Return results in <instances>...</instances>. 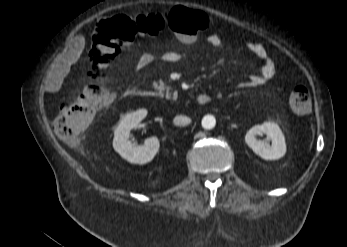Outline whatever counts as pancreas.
Returning a JSON list of instances; mask_svg holds the SVG:
<instances>
[{
    "instance_id": "obj_1",
    "label": "pancreas",
    "mask_w": 347,
    "mask_h": 247,
    "mask_svg": "<svg viewBox=\"0 0 347 247\" xmlns=\"http://www.w3.org/2000/svg\"><path fill=\"white\" fill-rule=\"evenodd\" d=\"M153 87L158 90V95L160 97H166L167 99H170L172 97L173 100H176L177 94L174 93L172 95L170 92L171 88L169 86H166L163 81L154 82ZM165 90L166 92H164Z\"/></svg>"
}]
</instances>
